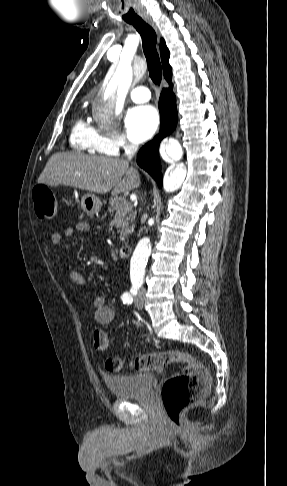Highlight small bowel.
<instances>
[{
  "label": "small bowel",
  "mask_w": 287,
  "mask_h": 486,
  "mask_svg": "<svg viewBox=\"0 0 287 486\" xmlns=\"http://www.w3.org/2000/svg\"><path fill=\"white\" fill-rule=\"evenodd\" d=\"M91 227L86 221H78L68 227H66L63 232H54L51 235V242L59 246L63 242V238L73 237L78 232H88ZM70 279L73 283L79 286L86 285L85 277L77 270L70 271ZM92 305L95 308L94 318L96 322L100 325H108L114 320V310L105 304L104 298L101 295H94L92 297Z\"/></svg>",
  "instance_id": "1"
}]
</instances>
